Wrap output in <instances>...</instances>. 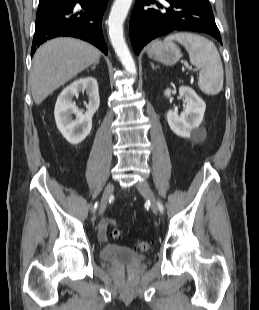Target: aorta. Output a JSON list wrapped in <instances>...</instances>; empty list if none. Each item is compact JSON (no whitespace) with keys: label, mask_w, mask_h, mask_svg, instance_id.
Listing matches in <instances>:
<instances>
[{"label":"aorta","mask_w":259,"mask_h":310,"mask_svg":"<svg viewBox=\"0 0 259 310\" xmlns=\"http://www.w3.org/2000/svg\"><path fill=\"white\" fill-rule=\"evenodd\" d=\"M132 0H115L109 15V37L115 53L125 70L136 75V65L123 37V23L131 7Z\"/></svg>","instance_id":"1"}]
</instances>
